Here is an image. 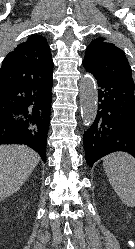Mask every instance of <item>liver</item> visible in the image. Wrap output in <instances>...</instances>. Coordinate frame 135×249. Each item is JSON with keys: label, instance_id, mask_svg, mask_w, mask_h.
Listing matches in <instances>:
<instances>
[{"label": "liver", "instance_id": "6515ba94", "mask_svg": "<svg viewBox=\"0 0 135 249\" xmlns=\"http://www.w3.org/2000/svg\"><path fill=\"white\" fill-rule=\"evenodd\" d=\"M39 161V154L27 146L0 145V201L22 187Z\"/></svg>", "mask_w": 135, "mask_h": 249}]
</instances>
